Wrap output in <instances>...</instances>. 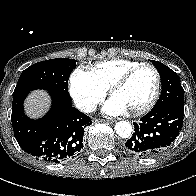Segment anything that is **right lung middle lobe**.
I'll list each match as a JSON object with an SVG mask.
<instances>
[{"mask_svg":"<svg viewBox=\"0 0 196 196\" xmlns=\"http://www.w3.org/2000/svg\"><path fill=\"white\" fill-rule=\"evenodd\" d=\"M76 67V60L57 58L38 62L25 69L13 92V98L35 89L56 91L71 99L68 92V79Z\"/></svg>","mask_w":196,"mask_h":196,"instance_id":"1","label":"right lung middle lobe"}]
</instances>
